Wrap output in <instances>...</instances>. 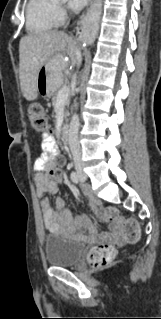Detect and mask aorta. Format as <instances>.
<instances>
[{
    "instance_id": "1",
    "label": "aorta",
    "mask_w": 161,
    "mask_h": 319,
    "mask_svg": "<svg viewBox=\"0 0 161 319\" xmlns=\"http://www.w3.org/2000/svg\"><path fill=\"white\" fill-rule=\"evenodd\" d=\"M85 22H86V23H85V28H86V29H90V28H91L90 20L87 19Z\"/></svg>"
}]
</instances>
